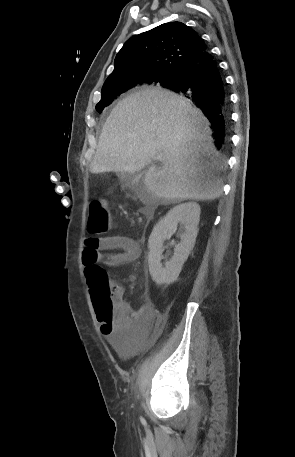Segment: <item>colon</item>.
Instances as JSON below:
<instances>
[{
	"label": "colon",
	"mask_w": 295,
	"mask_h": 457,
	"mask_svg": "<svg viewBox=\"0 0 295 457\" xmlns=\"http://www.w3.org/2000/svg\"><path fill=\"white\" fill-rule=\"evenodd\" d=\"M112 217L108 203L97 198L90 203L87 226L91 233L102 234L110 230ZM85 276L90 290L93 305L99 320L110 322L117 309L118 300L113 286L102 267L96 263H88Z\"/></svg>",
	"instance_id": "obj_1"
}]
</instances>
